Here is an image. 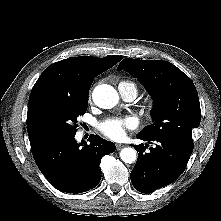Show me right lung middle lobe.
I'll return each mask as SVG.
<instances>
[{"mask_svg":"<svg viewBox=\"0 0 221 221\" xmlns=\"http://www.w3.org/2000/svg\"><path fill=\"white\" fill-rule=\"evenodd\" d=\"M88 94L67 95L45 91L36 95L28 119L40 142L76 134L77 117L86 113Z\"/></svg>","mask_w":221,"mask_h":221,"instance_id":"right-lung-middle-lobe-1","label":"right lung middle lobe"}]
</instances>
